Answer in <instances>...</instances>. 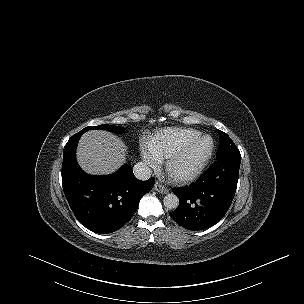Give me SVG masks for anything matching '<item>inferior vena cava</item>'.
Segmentation results:
<instances>
[{"mask_svg":"<svg viewBox=\"0 0 304 304\" xmlns=\"http://www.w3.org/2000/svg\"><path fill=\"white\" fill-rule=\"evenodd\" d=\"M134 175L139 180H148L151 175L152 171L149 166L144 162H138L133 167Z\"/></svg>","mask_w":304,"mask_h":304,"instance_id":"1","label":"inferior vena cava"}]
</instances>
